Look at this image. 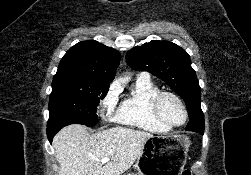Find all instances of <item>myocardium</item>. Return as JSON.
I'll list each match as a JSON object with an SVG mask.
<instances>
[{
	"label": "myocardium",
	"mask_w": 251,
	"mask_h": 175,
	"mask_svg": "<svg viewBox=\"0 0 251 175\" xmlns=\"http://www.w3.org/2000/svg\"><path fill=\"white\" fill-rule=\"evenodd\" d=\"M167 95L173 96L174 98H176L184 108L185 120L181 125H178V126L171 125L163 118V116L160 113V109H159L160 101L164 96H167ZM150 110H151L152 115L155 117V119L161 125H163L165 128H167L170 131H175V130H179V129L184 128L188 124L189 117H190L189 108H188L187 104L185 103L184 99L182 98V96L180 94H178L174 91H170V90H160L156 94H154L150 100Z\"/></svg>",
	"instance_id": "1"
}]
</instances>
